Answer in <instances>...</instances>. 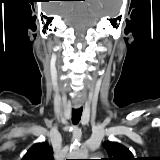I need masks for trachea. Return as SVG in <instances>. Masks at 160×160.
Returning <instances> with one entry per match:
<instances>
[{
	"mask_svg": "<svg viewBox=\"0 0 160 160\" xmlns=\"http://www.w3.org/2000/svg\"><path fill=\"white\" fill-rule=\"evenodd\" d=\"M82 111L83 108H77V109H72V122L74 124H78L80 119H81V115H82Z\"/></svg>",
	"mask_w": 160,
	"mask_h": 160,
	"instance_id": "trachea-1",
	"label": "trachea"
}]
</instances>
